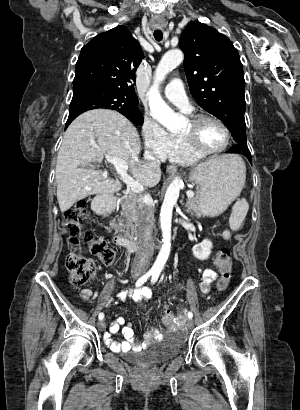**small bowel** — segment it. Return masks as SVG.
<instances>
[{
	"mask_svg": "<svg viewBox=\"0 0 300 410\" xmlns=\"http://www.w3.org/2000/svg\"><path fill=\"white\" fill-rule=\"evenodd\" d=\"M223 236L227 238L229 233L225 231ZM218 273L212 269H206L202 273V277L199 283V287L202 293L207 294L211 290L212 283L217 279ZM80 297L82 300H95L97 294L92 292L88 288H84L80 291ZM151 297V292L148 289H139L136 291L126 290L118 294L119 300L132 299L133 301L148 300ZM120 333L123 337L122 341H116L111 336ZM160 339L159 330L152 326L144 334L142 341H139L134 336V330L131 324L126 323L123 318H118L114 320L109 328V332L105 334L106 344L110 347L112 351H127L130 349L138 350L146 344H150L156 340Z\"/></svg>",
	"mask_w": 300,
	"mask_h": 410,
	"instance_id": "1",
	"label": "small bowel"
}]
</instances>
